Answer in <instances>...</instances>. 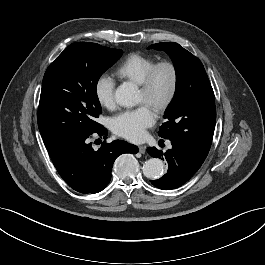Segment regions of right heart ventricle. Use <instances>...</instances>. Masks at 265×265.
<instances>
[{
    "instance_id": "e07e8e85",
    "label": "right heart ventricle",
    "mask_w": 265,
    "mask_h": 265,
    "mask_svg": "<svg viewBox=\"0 0 265 265\" xmlns=\"http://www.w3.org/2000/svg\"><path fill=\"white\" fill-rule=\"evenodd\" d=\"M155 62L151 56L131 53L116 68L115 74L121 79L140 85Z\"/></svg>"
}]
</instances>
